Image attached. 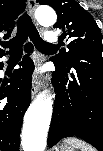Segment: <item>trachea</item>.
<instances>
[{"label": "trachea", "mask_w": 103, "mask_h": 151, "mask_svg": "<svg viewBox=\"0 0 103 151\" xmlns=\"http://www.w3.org/2000/svg\"><path fill=\"white\" fill-rule=\"evenodd\" d=\"M17 25L18 32L16 36L3 45L5 48L10 49L11 55H19L22 53V45L26 41L27 37L32 40L36 49L41 52L47 51L54 47V45L47 43L40 37L36 27L33 25L32 20L27 13H24L18 19Z\"/></svg>", "instance_id": "trachea-1"}]
</instances>
